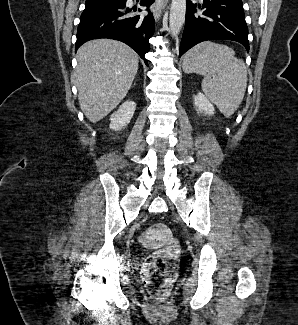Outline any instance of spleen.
Returning a JSON list of instances; mask_svg holds the SVG:
<instances>
[{"label": "spleen", "mask_w": 298, "mask_h": 325, "mask_svg": "<svg viewBox=\"0 0 298 325\" xmlns=\"http://www.w3.org/2000/svg\"><path fill=\"white\" fill-rule=\"evenodd\" d=\"M184 72L203 74L201 88L224 116H231L241 104L247 84L244 60L235 50L211 40L199 42L186 52Z\"/></svg>", "instance_id": "obj_1"}]
</instances>
